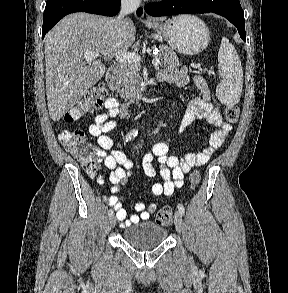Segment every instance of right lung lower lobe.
Segmentation results:
<instances>
[{"instance_id":"1","label":"right lung lower lobe","mask_w":288,"mask_h":293,"mask_svg":"<svg viewBox=\"0 0 288 293\" xmlns=\"http://www.w3.org/2000/svg\"><path fill=\"white\" fill-rule=\"evenodd\" d=\"M121 0H54L46 3L43 15L42 38L64 16L74 12H88L114 16L120 10ZM142 8L137 10L141 16Z\"/></svg>"}]
</instances>
